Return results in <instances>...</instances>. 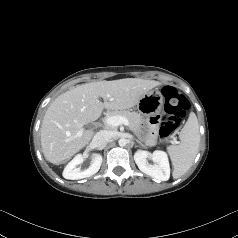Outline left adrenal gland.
<instances>
[{
	"label": "left adrenal gland",
	"instance_id": "a2214340",
	"mask_svg": "<svg viewBox=\"0 0 238 238\" xmlns=\"http://www.w3.org/2000/svg\"><path fill=\"white\" fill-rule=\"evenodd\" d=\"M136 142H137V143H139V144H141V142H140V141H138V140H136Z\"/></svg>",
	"mask_w": 238,
	"mask_h": 238
}]
</instances>
